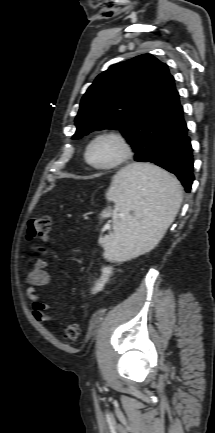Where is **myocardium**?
I'll use <instances>...</instances> for the list:
<instances>
[{"mask_svg": "<svg viewBox=\"0 0 215 433\" xmlns=\"http://www.w3.org/2000/svg\"><path fill=\"white\" fill-rule=\"evenodd\" d=\"M104 138H112L114 140H116L121 148L120 151V155L118 156V158L116 160H114L111 163H107V164H95L93 162L90 161L89 159V153L91 150V147L100 139H104ZM132 156V146L129 142V140L126 138V136L120 132V131H116V130H107V131H103L98 133L97 135H95L90 142L87 144L86 149H85V153H84V158L86 163L97 170H113L116 168L121 167L122 165H124Z\"/></svg>", "mask_w": 215, "mask_h": 433, "instance_id": "1", "label": "myocardium"}]
</instances>
